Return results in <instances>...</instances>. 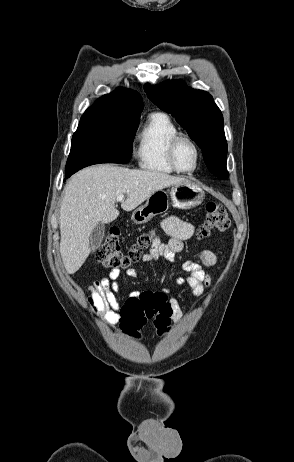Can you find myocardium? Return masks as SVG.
Here are the masks:
<instances>
[{
	"label": "myocardium",
	"mask_w": 294,
	"mask_h": 462,
	"mask_svg": "<svg viewBox=\"0 0 294 462\" xmlns=\"http://www.w3.org/2000/svg\"><path fill=\"white\" fill-rule=\"evenodd\" d=\"M181 142H188L190 143L194 150H195V153H196V162H195V165L192 169L190 170H184L182 169L178 163H177V159H176V151H177V147L178 145L181 143ZM167 157H168V161L171 165V167L176 171V172H179V173H184V174H190V173H193L195 172L199 165H200V161H201V149L198 145V143L193 139L191 138L190 136L188 135H185V134H178L176 136H174L170 143H169V146H168V151H167Z\"/></svg>",
	"instance_id": "1"
}]
</instances>
